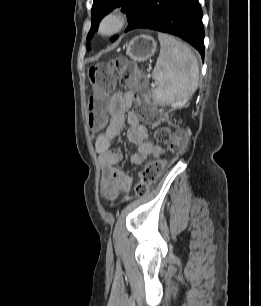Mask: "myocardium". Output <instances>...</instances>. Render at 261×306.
<instances>
[{
    "label": "myocardium",
    "mask_w": 261,
    "mask_h": 306,
    "mask_svg": "<svg viewBox=\"0 0 261 306\" xmlns=\"http://www.w3.org/2000/svg\"><path fill=\"white\" fill-rule=\"evenodd\" d=\"M127 25V14L120 9H114L102 17L98 25L97 33L101 37H111L120 33Z\"/></svg>",
    "instance_id": "obj_1"
}]
</instances>
